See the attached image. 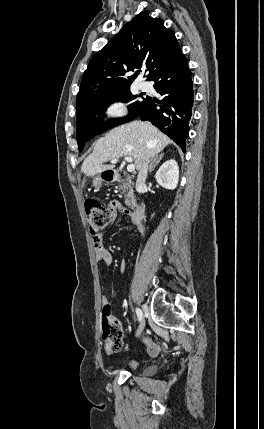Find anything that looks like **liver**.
<instances>
[{"instance_id": "6515ba94", "label": "liver", "mask_w": 264, "mask_h": 429, "mask_svg": "<svg viewBox=\"0 0 264 429\" xmlns=\"http://www.w3.org/2000/svg\"><path fill=\"white\" fill-rule=\"evenodd\" d=\"M171 142L170 138L149 122L133 121L118 126L100 138L93 152L84 160L81 172L94 176L113 165L104 163L123 156L134 158L137 170L145 158H155Z\"/></svg>"}]
</instances>
